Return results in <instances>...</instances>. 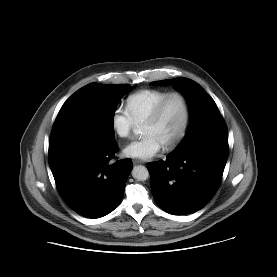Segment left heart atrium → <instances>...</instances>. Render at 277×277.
I'll use <instances>...</instances> for the list:
<instances>
[{"label": "left heart atrium", "mask_w": 277, "mask_h": 277, "mask_svg": "<svg viewBox=\"0 0 277 277\" xmlns=\"http://www.w3.org/2000/svg\"><path fill=\"white\" fill-rule=\"evenodd\" d=\"M163 147L154 135L145 134L140 139L127 144L123 149V153L129 158L147 160L157 155Z\"/></svg>", "instance_id": "39dd6f15"}]
</instances>
